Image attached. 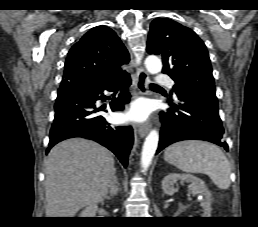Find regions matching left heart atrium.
Returning <instances> with one entry per match:
<instances>
[{
    "mask_svg": "<svg viewBox=\"0 0 258 227\" xmlns=\"http://www.w3.org/2000/svg\"><path fill=\"white\" fill-rule=\"evenodd\" d=\"M147 114L148 110L146 106L139 103L134 105L124 118L127 120L142 121L146 118Z\"/></svg>",
    "mask_w": 258,
    "mask_h": 227,
    "instance_id": "left-heart-atrium-1",
    "label": "left heart atrium"
}]
</instances>
